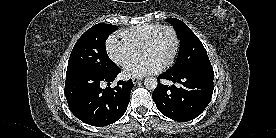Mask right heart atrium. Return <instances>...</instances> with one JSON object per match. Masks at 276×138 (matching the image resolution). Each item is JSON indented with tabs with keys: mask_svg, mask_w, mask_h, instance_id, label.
I'll return each mask as SVG.
<instances>
[{
	"mask_svg": "<svg viewBox=\"0 0 276 138\" xmlns=\"http://www.w3.org/2000/svg\"><path fill=\"white\" fill-rule=\"evenodd\" d=\"M106 52L115 64L123 67L136 55L137 49L119 34L108 37Z\"/></svg>",
	"mask_w": 276,
	"mask_h": 138,
	"instance_id": "d8ad5b80",
	"label": "right heart atrium"
}]
</instances>
